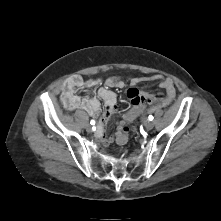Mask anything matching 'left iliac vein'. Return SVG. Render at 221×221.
Here are the masks:
<instances>
[{"label":"left iliac vein","instance_id":"1","mask_svg":"<svg viewBox=\"0 0 221 221\" xmlns=\"http://www.w3.org/2000/svg\"><path fill=\"white\" fill-rule=\"evenodd\" d=\"M153 127H154V124H153L152 122H150V121H148V122L145 124V129H146L147 131L152 130Z\"/></svg>","mask_w":221,"mask_h":221}]
</instances>
